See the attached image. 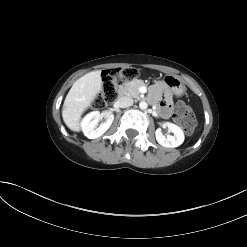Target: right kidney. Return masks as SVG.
I'll list each match as a JSON object with an SVG mask.
<instances>
[{
  "label": "right kidney",
  "mask_w": 247,
  "mask_h": 247,
  "mask_svg": "<svg viewBox=\"0 0 247 247\" xmlns=\"http://www.w3.org/2000/svg\"><path fill=\"white\" fill-rule=\"evenodd\" d=\"M102 114H100L99 111H93L87 114L82 122H81V128L84 133V135L89 139H96L100 136H102L111 126L113 120H114V114L107 112L104 117L106 121L102 123L98 128V122L102 118Z\"/></svg>",
  "instance_id": "obj_1"
}]
</instances>
